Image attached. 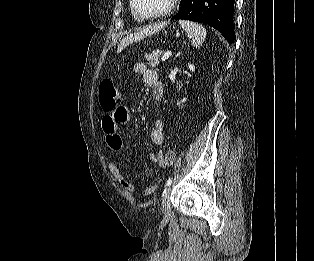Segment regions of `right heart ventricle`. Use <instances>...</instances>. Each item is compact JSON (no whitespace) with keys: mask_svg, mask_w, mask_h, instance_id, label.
<instances>
[{"mask_svg":"<svg viewBox=\"0 0 314 261\" xmlns=\"http://www.w3.org/2000/svg\"><path fill=\"white\" fill-rule=\"evenodd\" d=\"M130 10H131V13H132V15L134 16V18H138L137 16H136V14L133 12V10H132V7H131V0H130Z\"/></svg>","mask_w":314,"mask_h":261,"instance_id":"obj_1","label":"right heart ventricle"}]
</instances>
